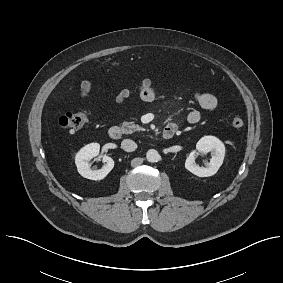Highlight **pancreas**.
<instances>
[{"label":"pancreas","mask_w":283,"mask_h":283,"mask_svg":"<svg viewBox=\"0 0 283 283\" xmlns=\"http://www.w3.org/2000/svg\"><path fill=\"white\" fill-rule=\"evenodd\" d=\"M122 129L123 132L126 134H131L134 131H144L143 127H140L139 125H136L133 122H126V121L122 123Z\"/></svg>","instance_id":"1"}]
</instances>
